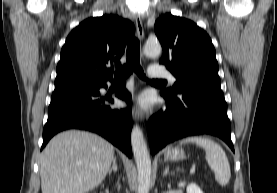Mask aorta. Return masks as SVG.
<instances>
[{
  "label": "aorta",
  "mask_w": 277,
  "mask_h": 193,
  "mask_svg": "<svg viewBox=\"0 0 277 193\" xmlns=\"http://www.w3.org/2000/svg\"><path fill=\"white\" fill-rule=\"evenodd\" d=\"M144 54L149 57L160 55L162 48L158 42L146 43ZM131 145L138 171V193H148L151 176V160L143 132L135 125L131 132Z\"/></svg>",
  "instance_id": "obj_1"
}]
</instances>
